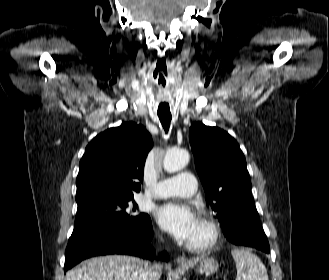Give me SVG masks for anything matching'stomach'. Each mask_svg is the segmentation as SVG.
I'll return each mask as SVG.
<instances>
[{
    "mask_svg": "<svg viewBox=\"0 0 329 280\" xmlns=\"http://www.w3.org/2000/svg\"><path fill=\"white\" fill-rule=\"evenodd\" d=\"M188 269V266H182ZM219 265L217 261L212 258H202L197 262L195 271L201 275L210 276L218 271Z\"/></svg>",
    "mask_w": 329,
    "mask_h": 280,
    "instance_id": "obj_1",
    "label": "stomach"
}]
</instances>
